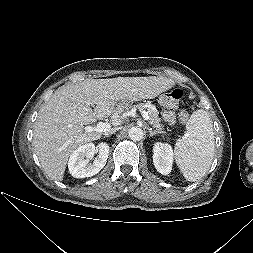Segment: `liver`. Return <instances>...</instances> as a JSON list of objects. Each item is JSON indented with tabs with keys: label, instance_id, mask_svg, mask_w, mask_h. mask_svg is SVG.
<instances>
[{
	"label": "liver",
	"instance_id": "obj_1",
	"mask_svg": "<svg viewBox=\"0 0 253 253\" xmlns=\"http://www.w3.org/2000/svg\"><path fill=\"white\" fill-rule=\"evenodd\" d=\"M174 85L167 77L149 76L86 79L58 88L40 108L34 125L33 145L44 172L62 181L76 148L102 136L85 131V125L109 117L120 102L153 99ZM112 123L120 124L115 115Z\"/></svg>",
	"mask_w": 253,
	"mask_h": 253
}]
</instances>
